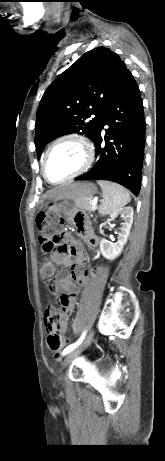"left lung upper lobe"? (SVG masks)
<instances>
[{"label":"left lung upper lobe","mask_w":165,"mask_h":461,"mask_svg":"<svg viewBox=\"0 0 165 461\" xmlns=\"http://www.w3.org/2000/svg\"><path fill=\"white\" fill-rule=\"evenodd\" d=\"M127 71L119 55L99 47L86 52L46 89L37 109L35 145L70 133L94 139L106 108ZM95 115L94 118H91Z\"/></svg>","instance_id":"left-lung-upper-lobe-1"}]
</instances>
